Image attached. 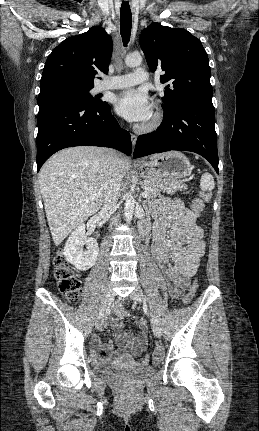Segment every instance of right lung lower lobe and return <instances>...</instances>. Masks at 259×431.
<instances>
[{
    "label": "right lung lower lobe",
    "instance_id": "98d812e1",
    "mask_svg": "<svg viewBox=\"0 0 259 431\" xmlns=\"http://www.w3.org/2000/svg\"><path fill=\"white\" fill-rule=\"evenodd\" d=\"M74 146L113 147L131 154V137L119 127L108 103L93 106L59 100L39 106L37 171L55 152Z\"/></svg>",
    "mask_w": 259,
    "mask_h": 431
}]
</instances>
